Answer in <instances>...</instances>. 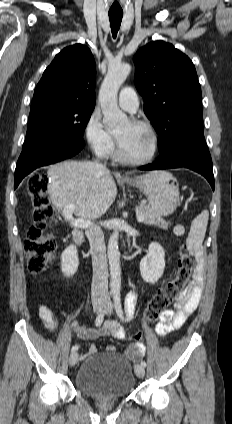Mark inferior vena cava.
Here are the masks:
<instances>
[{"label": "inferior vena cava", "mask_w": 232, "mask_h": 424, "mask_svg": "<svg viewBox=\"0 0 232 424\" xmlns=\"http://www.w3.org/2000/svg\"><path fill=\"white\" fill-rule=\"evenodd\" d=\"M94 164L101 171H106V166L98 162ZM92 256L93 279L91 287L92 303H103L108 298V270L106 246L103 231L99 226H93L86 231Z\"/></svg>", "instance_id": "obj_1"}]
</instances>
